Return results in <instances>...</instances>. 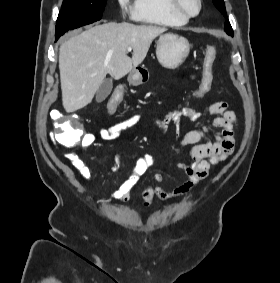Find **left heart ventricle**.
I'll return each mask as SVG.
<instances>
[{"label":"left heart ventricle","mask_w":280,"mask_h":283,"mask_svg":"<svg viewBox=\"0 0 280 283\" xmlns=\"http://www.w3.org/2000/svg\"><path fill=\"white\" fill-rule=\"evenodd\" d=\"M184 5L187 9H189L192 12H195L197 10V1L196 0H183Z\"/></svg>","instance_id":"left-heart-ventricle-1"}]
</instances>
